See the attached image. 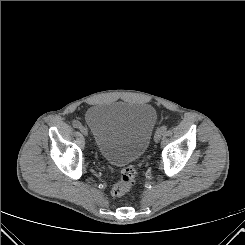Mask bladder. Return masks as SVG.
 <instances>
[{
	"label": "bladder",
	"instance_id": "31cf9c89",
	"mask_svg": "<svg viewBox=\"0 0 245 245\" xmlns=\"http://www.w3.org/2000/svg\"><path fill=\"white\" fill-rule=\"evenodd\" d=\"M85 120L101 158L123 166L144 154L157 113L146 103L106 102L91 106Z\"/></svg>",
	"mask_w": 245,
	"mask_h": 245
}]
</instances>
